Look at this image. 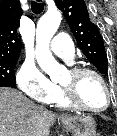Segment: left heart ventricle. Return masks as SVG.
Here are the masks:
<instances>
[{"mask_svg": "<svg viewBox=\"0 0 117 136\" xmlns=\"http://www.w3.org/2000/svg\"><path fill=\"white\" fill-rule=\"evenodd\" d=\"M60 84L74 88L77 99L93 109L103 108L106 104V92L101 82L91 74L74 77L68 72Z\"/></svg>", "mask_w": 117, "mask_h": 136, "instance_id": "b2bd125f", "label": "left heart ventricle"}]
</instances>
